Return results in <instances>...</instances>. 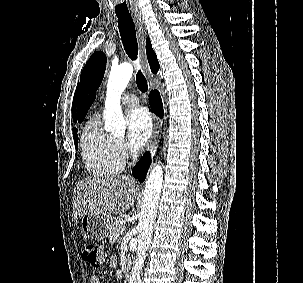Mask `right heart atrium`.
I'll return each mask as SVG.
<instances>
[{
  "instance_id": "right-heart-atrium-1",
  "label": "right heart atrium",
  "mask_w": 303,
  "mask_h": 283,
  "mask_svg": "<svg viewBox=\"0 0 303 283\" xmlns=\"http://www.w3.org/2000/svg\"><path fill=\"white\" fill-rule=\"evenodd\" d=\"M115 143H116V147L118 152L120 153V155L126 159L129 156V148L127 146V144L125 143V141L121 138H117L115 139Z\"/></svg>"
}]
</instances>
